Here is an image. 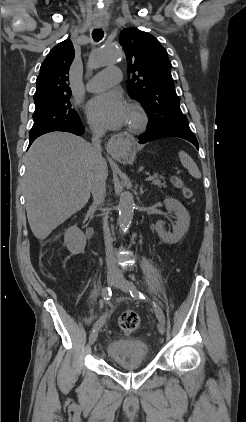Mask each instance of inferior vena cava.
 Wrapping results in <instances>:
<instances>
[{"label": "inferior vena cava", "instance_id": "1", "mask_svg": "<svg viewBox=\"0 0 246 422\" xmlns=\"http://www.w3.org/2000/svg\"><path fill=\"white\" fill-rule=\"evenodd\" d=\"M92 145H91V155L94 159V167L91 176V192L93 195L94 203L97 206H100L104 202L105 192H106V173L103 170V158L101 155V145L100 138L104 135V130L100 128H94L92 130ZM108 214L103 213V233L105 241V250H106V261L108 271L112 273H119L118 267L114 264V256L112 250V238L110 230L108 227Z\"/></svg>", "mask_w": 246, "mask_h": 422}]
</instances>
